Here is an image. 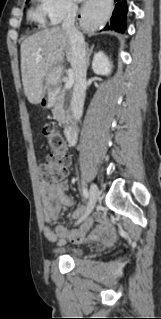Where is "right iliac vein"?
<instances>
[{
  "mask_svg": "<svg viewBox=\"0 0 161 319\" xmlns=\"http://www.w3.org/2000/svg\"><path fill=\"white\" fill-rule=\"evenodd\" d=\"M98 196H99L98 187L95 184L91 185V188H90V200H89L87 212L82 217V219H84L88 214H90L92 212V210H93V208H94V206L96 204Z\"/></svg>",
  "mask_w": 161,
  "mask_h": 319,
  "instance_id": "right-iliac-vein-1",
  "label": "right iliac vein"
}]
</instances>
